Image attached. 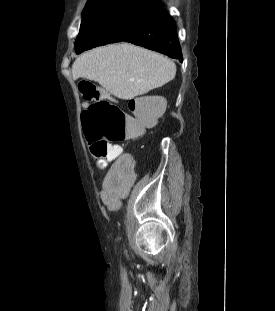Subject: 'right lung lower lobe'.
Listing matches in <instances>:
<instances>
[{
  "label": "right lung lower lobe",
  "instance_id": "obj_1",
  "mask_svg": "<svg viewBox=\"0 0 275 311\" xmlns=\"http://www.w3.org/2000/svg\"><path fill=\"white\" fill-rule=\"evenodd\" d=\"M121 41L161 52L180 62L183 59L176 24L162 8L134 24Z\"/></svg>",
  "mask_w": 275,
  "mask_h": 311
}]
</instances>
